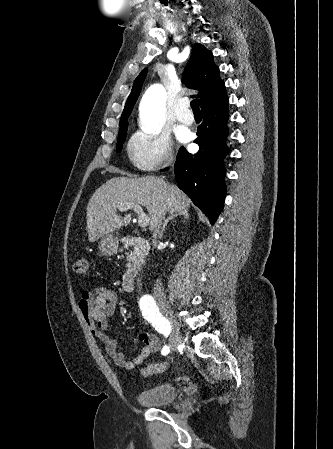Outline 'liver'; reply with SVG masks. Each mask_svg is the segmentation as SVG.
Instances as JSON below:
<instances>
[{
	"label": "liver",
	"mask_w": 333,
	"mask_h": 449,
	"mask_svg": "<svg viewBox=\"0 0 333 449\" xmlns=\"http://www.w3.org/2000/svg\"><path fill=\"white\" fill-rule=\"evenodd\" d=\"M137 203L146 207L153 230L157 215L164 210L171 214L190 208V199L176 186L157 177H115L99 187L87 206V230L89 242L109 235L128 225L131 214L124 218L117 214L119 206Z\"/></svg>",
	"instance_id": "obj_1"
}]
</instances>
